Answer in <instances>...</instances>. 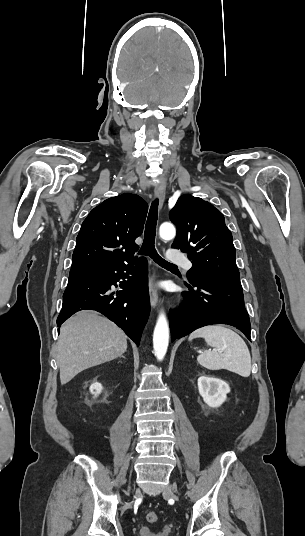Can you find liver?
<instances>
[{"label":"liver","mask_w":305,"mask_h":536,"mask_svg":"<svg viewBox=\"0 0 305 536\" xmlns=\"http://www.w3.org/2000/svg\"><path fill=\"white\" fill-rule=\"evenodd\" d=\"M126 338L121 328L96 312H77L61 326L57 342L62 386L87 368L120 358L127 350Z\"/></svg>","instance_id":"1"}]
</instances>
